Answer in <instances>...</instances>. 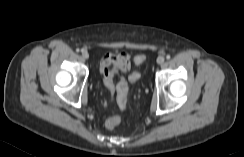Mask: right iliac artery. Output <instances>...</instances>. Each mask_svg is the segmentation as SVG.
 I'll return each mask as SVG.
<instances>
[{
  "label": "right iliac artery",
  "instance_id": "1",
  "mask_svg": "<svg viewBox=\"0 0 244 157\" xmlns=\"http://www.w3.org/2000/svg\"><path fill=\"white\" fill-rule=\"evenodd\" d=\"M76 51H77V52H80V49H77Z\"/></svg>",
  "mask_w": 244,
  "mask_h": 157
}]
</instances>
